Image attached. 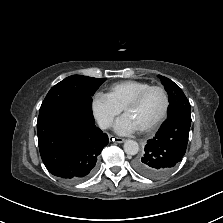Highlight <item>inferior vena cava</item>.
<instances>
[{"label":"inferior vena cava","instance_id":"602c4592","mask_svg":"<svg viewBox=\"0 0 223 223\" xmlns=\"http://www.w3.org/2000/svg\"><path fill=\"white\" fill-rule=\"evenodd\" d=\"M98 125L101 129H108L111 127L112 122L108 119H100L98 121Z\"/></svg>","mask_w":223,"mask_h":223}]
</instances>
